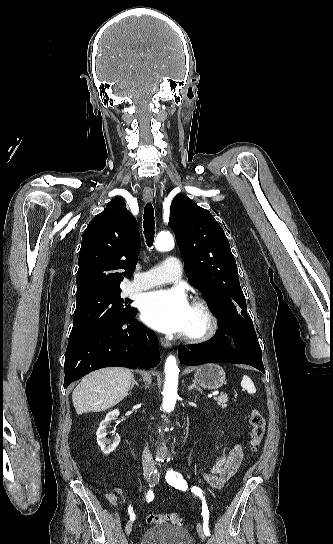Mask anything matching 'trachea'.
Returning <instances> with one entry per match:
<instances>
[{"label": "trachea", "instance_id": "1", "mask_svg": "<svg viewBox=\"0 0 333 544\" xmlns=\"http://www.w3.org/2000/svg\"><path fill=\"white\" fill-rule=\"evenodd\" d=\"M143 227L146 243L149 247L152 246L155 235L154 209L151 203H147L144 208Z\"/></svg>", "mask_w": 333, "mask_h": 544}]
</instances>
